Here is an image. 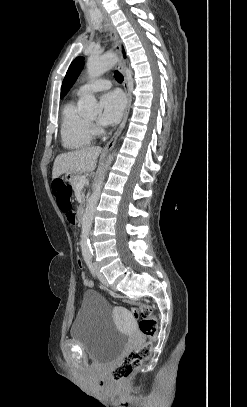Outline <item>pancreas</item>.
Segmentation results:
<instances>
[{"label": "pancreas", "mask_w": 247, "mask_h": 407, "mask_svg": "<svg viewBox=\"0 0 247 407\" xmlns=\"http://www.w3.org/2000/svg\"><path fill=\"white\" fill-rule=\"evenodd\" d=\"M81 178H82L81 175H77L72 179L71 184L74 189H76L78 187V184H79ZM82 200L84 201V194H82Z\"/></svg>", "instance_id": "pancreas-1"}]
</instances>
